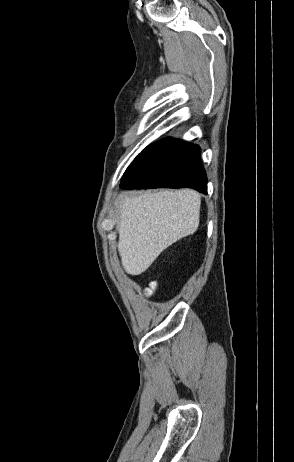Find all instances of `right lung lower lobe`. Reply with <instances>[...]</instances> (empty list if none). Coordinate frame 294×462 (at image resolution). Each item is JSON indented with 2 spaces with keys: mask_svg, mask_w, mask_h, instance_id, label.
Masks as SVG:
<instances>
[{
  "mask_svg": "<svg viewBox=\"0 0 294 462\" xmlns=\"http://www.w3.org/2000/svg\"><path fill=\"white\" fill-rule=\"evenodd\" d=\"M123 189L193 188L207 194L200 148L166 138L142 151L125 171Z\"/></svg>",
  "mask_w": 294,
  "mask_h": 462,
  "instance_id": "1",
  "label": "right lung lower lobe"
}]
</instances>
